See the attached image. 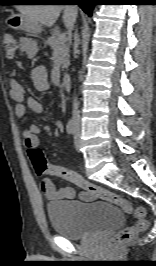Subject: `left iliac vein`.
Masks as SVG:
<instances>
[{
  "label": "left iliac vein",
  "mask_w": 156,
  "mask_h": 266,
  "mask_svg": "<svg viewBox=\"0 0 156 266\" xmlns=\"http://www.w3.org/2000/svg\"><path fill=\"white\" fill-rule=\"evenodd\" d=\"M80 134H81V126H80V122L77 121L76 130L74 133V144L77 150H79L80 148Z\"/></svg>",
  "instance_id": "left-iliac-vein-1"
}]
</instances>
